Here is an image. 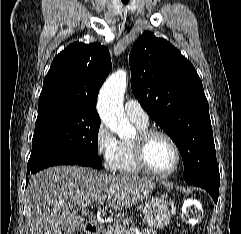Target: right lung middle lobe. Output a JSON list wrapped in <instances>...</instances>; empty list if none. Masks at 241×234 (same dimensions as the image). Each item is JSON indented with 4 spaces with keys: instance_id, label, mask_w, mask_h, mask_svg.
<instances>
[{
    "instance_id": "1",
    "label": "right lung middle lobe",
    "mask_w": 241,
    "mask_h": 234,
    "mask_svg": "<svg viewBox=\"0 0 241 234\" xmlns=\"http://www.w3.org/2000/svg\"><path fill=\"white\" fill-rule=\"evenodd\" d=\"M99 116L67 105L38 107L31 156L61 149L78 155L89 166L101 169L98 156Z\"/></svg>"
}]
</instances>
